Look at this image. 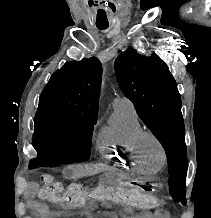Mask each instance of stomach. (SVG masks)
Returning a JSON list of instances; mask_svg holds the SVG:
<instances>
[{"label":"stomach","mask_w":211,"mask_h":218,"mask_svg":"<svg viewBox=\"0 0 211 218\" xmlns=\"http://www.w3.org/2000/svg\"><path fill=\"white\" fill-rule=\"evenodd\" d=\"M105 182L107 184H113V185L132 186L133 183L141 184L144 181L140 179H135L134 177L128 175H116V176H106Z\"/></svg>","instance_id":"obj_1"}]
</instances>
